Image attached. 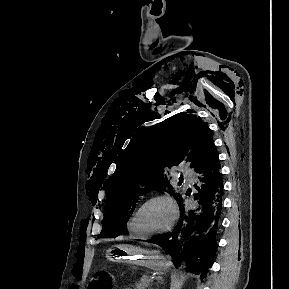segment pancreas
Listing matches in <instances>:
<instances>
[{"instance_id": "pancreas-1", "label": "pancreas", "mask_w": 289, "mask_h": 289, "mask_svg": "<svg viewBox=\"0 0 289 289\" xmlns=\"http://www.w3.org/2000/svg\"><path fill=\"white\" fill-rule=\"evenodd\" d=\"M150 285V279L148 276H143L139 283L136 286V289H145L147 286Z\"/></svg>"}]
</instances>
